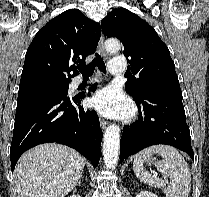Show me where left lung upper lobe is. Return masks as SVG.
Here are the masks:
<instances>
[{
  "instance_id": "5c2ea615",
  "label": "left lung upper lobe",
  "mask_w": 209,
  "mask_h": 197,
  "mask_svg": "<svg viewBox=\"0 0 209 197\" xmlns=\"http://www.w3.org/2000/svg\"><path fill=\"white\" fill-rule=\"evenodd\" d=\"M101 27L104 35L122 41L128 69L138 75L125 83L128 94L138 98L159 91H181L168 47L144 20L117 8L101 21Z\"/></svg>"
}]
</instances>
